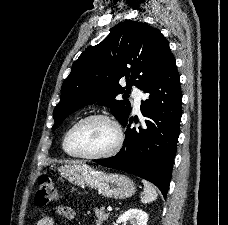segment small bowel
I'll return each mask as SVG.
<instances>
[{
    "instance_id": "small-bowel-1",
    "label": "small bowel",
    "mask_w": 228,
    "mask_h": 225,
    "mask_svg": "<svg viewBox=\"0 0 228 225\" xmlns=\"http://www.w3.org/2000/svg\"><path fill=\"white\" fill-rule=\"evenodd\" d=\"M56 213L69 220H73L76 217V212L69 206H58ZM36 225H55V218L51 215L43 216L37 221Z\"/></svg>"
}]
</instances>
